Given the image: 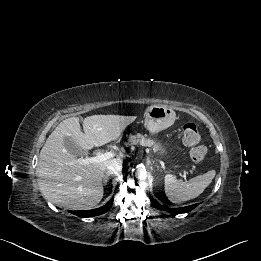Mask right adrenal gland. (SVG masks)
Listing matches in <instances>:
<instances>
[{"mask_svg": "<svg viewBox=\"0 0 261 261\" xmlns=\"http://www.w3.org/2000/svg\"><path fill=\"white\" fill-rule=\"evenodd\" d=\"M109 176H110V174H108V173H106V175H104V184L106 185L107 184V182H108V180H109Z\"/></svg>", "mask_w": 261, "mask_h": 261, "instance_id": "obj_1", "label": "right adrenal gland"}]
</instances>
